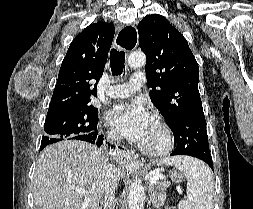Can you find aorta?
Wrapping results in <instances>:
<instances>
[{"instance_id":"aorta-1","label":"aorta","mask_w":253,"mask_h":209,"mask_svg":"<svg viewBox=\"0 0 253 209\" xmlns=\"http://www.w3.org/2000/svg\"><path fill=\"white\" fill-rule=\"evenodd\" d=\"M146 56L143 53H131L128 57L130 68L138 69L145 65ZM129 209H143L144 206V187L141 180H136L131 184L128 196Z\"/></svg>"}]
</instances>
